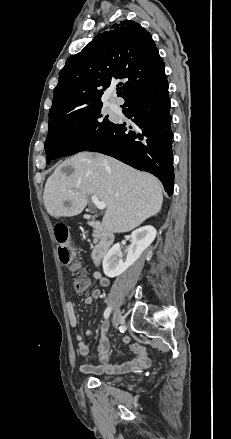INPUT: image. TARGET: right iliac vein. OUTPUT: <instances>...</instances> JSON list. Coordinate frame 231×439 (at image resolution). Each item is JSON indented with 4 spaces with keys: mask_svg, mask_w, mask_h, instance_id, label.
Listing matches in <instances>:
<instances>
[{
    "mask_svg": "<svg viewBox=\"0 0 231 439\" xmlns=\"http://www.w3.org/2000/svg\"><path fill=\"white\" fill-rule=\"evenodd\" d=\"M122 320V315L120 310L117 308L113 313L112 325L114 328H117Z\"/></svg>",
    "mask_w": 231,
    "mask_h": 439,
    "instance_id": "63e3f726",
    "label": "right iliac vein"
}]
</instances>
